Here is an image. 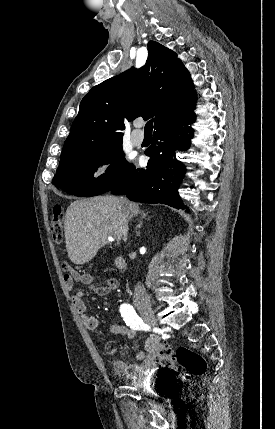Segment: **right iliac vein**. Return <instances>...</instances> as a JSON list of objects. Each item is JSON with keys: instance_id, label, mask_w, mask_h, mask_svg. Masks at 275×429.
<instances>
[{"instance_id": "63e3f726", "label": "right iliac vein", "mask_w": 275, "mask_h": 429, "mask_svg": "<svg viewBox=\"0 0 275 429\" xmlns=\"http://www.w3.org/2000/svg\"><path fill=\"white\" fill-rule=\"evenodd\" d=\"M138 310L143 317L144 321L149 324L150 326H156L157 321L154 315V311L150 304L148 303H140L138 305Z\"/></svg>"}]
</instances>
